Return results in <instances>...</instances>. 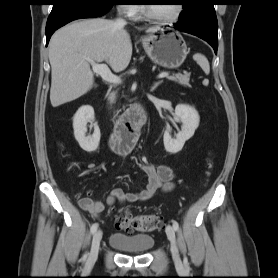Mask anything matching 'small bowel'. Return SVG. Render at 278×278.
Wrapping results in <instances>:
<instances>
[{
	"mask_svg": "<svg viewBox=\"0 0 278 278\" xmlns=\"http://www.w3.org/2000/svg\"><path fill=\"white\" fill-rule=\"evenodd\" d=\"M140 167L148 178L146 187L142 190L130 192H125L121 188H114L106 200L108 207H112L116 203L124 204L125 202L146 201L159 191L168 192L174 188V173L169 166L160 165L154 167L152 164L144 162ZM78 204L84 211H87L94 217H99L106 207L104 202L92 197L80 198Z\"/></svg>",
	"mask_w": 278,
	"mask_h": 278,
	"instance_id": "obj_1",
	"label": "small bowel"
}]
</instances>
